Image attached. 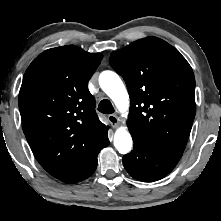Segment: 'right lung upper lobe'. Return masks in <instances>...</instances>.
Masks as SVG:
<instances>
[{"instance_id":"1","label":"right lung upper lobe","mask_w":221,"mask_h":221,"mask_svg":"<svg viewBox=\"0 0 221 221\" xmlns=\"http://www.w3.org/2000/svg\"><path fill=\"white\" fill-rule=\"evenodd\" d=\"M103 55L73 45L48 49L26 70L19 94L22 127L42 167L60 178L105 137L88 81Z\"/></svg>"}]
</instances>
